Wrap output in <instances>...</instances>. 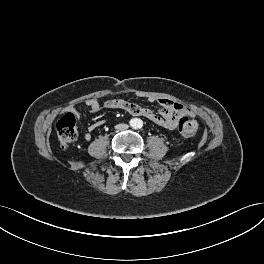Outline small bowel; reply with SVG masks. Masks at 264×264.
<instances>
[{
  "instance_id": "c3829d8e",
  "label": "small bowel",
  "mask_w": 264,
  "mask_h": 264,
  "mask_svg": "<svg viewBox=\"0 0 264 264\" xmlns=\"http://www.w3.org/2000/svg\"><path fill=\"white\" fill-rule=\"evenodd\" d=\"M148 100L150 102H154L157 100L161 105V108L157 113L152 111L151 109L139 106L135 103L128 102L123 99H112L101 104L99 100L92 98L86 100L85 104L88 107L90 113H97L103 107L110 109H123L132 115L144 116L156 125L168 130H174L177 127L179 119L182 116L193 115L192 111L188 107L172 100L165 98L156 99L154 97H148ZM100 125L101 122H97L88 127V130L85 133V139L87 141L91 140V132Z\"/></svg>"
}]
</instances>
